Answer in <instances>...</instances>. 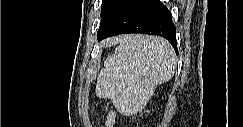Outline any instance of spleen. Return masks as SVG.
<instances>
[{
    "instance_id": "3e777b00",
    "label": "spleen",
    "mask_w": 243,
    "mask_h": 127,
    "mask_svg": "<svg viewBox=\"0 0 243 127\" xmlns=\"http://www.w3.org/2000/svg\"><path fill=\"white\" fill-rule=\"evenodd\" d=\"M171 45L156 36H132L107 58L97 78L96 95L109 98L122 114L140 110L155 86L168 81L176 69Z\"/></svg>"
}]
</instances>
